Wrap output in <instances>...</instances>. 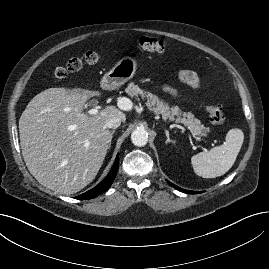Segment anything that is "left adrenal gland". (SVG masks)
Listing matches in <instances>:
<instances>
[{
	"instance_id": "obj_1",
	"label": "left adrenal gland",
	"mask_w": 269,
	"mask_h": 269,
	"mask_svg": "<svg viewBox=\"0 0 269 269\" xmlns=\"http://www.w3.org/2000/svg\"><path fill=\"white\" fill-rule=\"evenodd\" d=\"M165 135L167 137V140H166V143H175V141L171 140L170 137H169V131L168 130H165Z\"/></svg>"
}]
</instances>
